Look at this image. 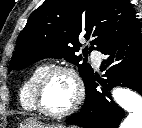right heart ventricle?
Returning <instances> with one entry per match:
<instances>
[{
	"label": "right heart ventricle",
	"instance_id": "right-heart-ventricle-1",
	"mask_svg": "<svg viewBox=\"0 0 142 128\" xmlns=\"http://www.w3.org/2000/svg\"><path fill=\"white\" fill-rule=\"evenodd\" d=\"M49 67L47 63L36 65L22 82L19 89V102L23 109L27 111H37L34 99V91L37 80Z\"/></svg>",
	"mask_w": 142,
	"mask_h": 128
}]
</instances>
